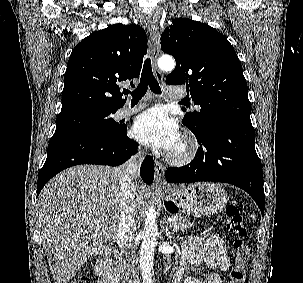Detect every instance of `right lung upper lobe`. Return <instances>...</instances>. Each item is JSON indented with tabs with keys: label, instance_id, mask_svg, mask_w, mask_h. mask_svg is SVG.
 Returning a JSON list of instances; mask_svg holds the SVG:
<instances>
[{
	"label": "right lung upper lobe",
	"instance_id": "cb5924a9",
	"mask_svg": "<svg viewBox=\"0 0 303 283\" xmlns=\"http://www.w3.org/2000/svg\"><path fill=\"white\" fill-rule=\"evenodd\" d=\"M146 52V33L135 24H115L83 39L69 57L59 116L121 108L126 99L118 83L133 86Z\"/></svg>",
	"mask_w": 303,
	"mask_h": 283
}]
</instances>
